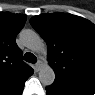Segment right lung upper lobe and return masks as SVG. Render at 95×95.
I'll return each instance as SVG.
<instances>
[{"label": "right lung upper lobe", "instance_id": "obj_1", "mask_svg": "<svg viewBox=\"0 0 95 95\" xmlns=\"http://www.w3.org/2000/svg\"><path fill=\"white\" fill-rule=\"evenodd\" d=\"M25 22V15L0 13V95H21L25 81L34 72L22 61L15 42Z\"/></svg>", "mask_w": 95, "mask_h": 95}]
</instances>
